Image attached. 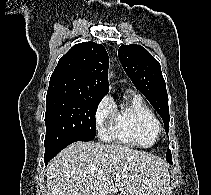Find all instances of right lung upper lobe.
Wrapping results in <instances>:
<instances>
[{"instance_id":"1","label":"right lung upper lobe","mask_w":211,"mask_h":195,"mask_svg":"<svg viewBox=\"0 0 211 195\" xmlns=\"http://www.w3.org/2000/svg\"><path fill=\"white\" fill-rule=\"evenodd\" d=\"M109 57L95 42L74 45L58 62L51 75L47 95L65 94L102 99L109 91Z\"/></svg>"}]
</instances>
